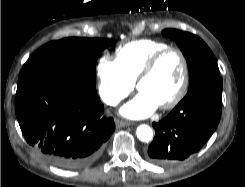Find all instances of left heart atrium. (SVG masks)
Here are the masks:
<instances>
[{
  "label": "left heart atrium",
  "instance_id": "left-heart-atrium-1",
  "mask_svg": "<svg viewBox=\"0 0 245 187\" xmlns=\"http://www.w3.org/2000/svg\"><path fill=\"white\" fill-rule=\"evenodd\" d=\"M157 108V103L147 93L139 92L121 109V114L132 119H142L151 115Z\"/></svg>",
  "mask_w": 245,
  "mask_h": 187
}]
</instances>
